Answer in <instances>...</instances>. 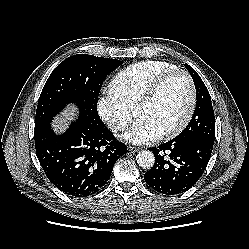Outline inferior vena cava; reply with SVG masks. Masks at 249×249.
Wrapping results in <instances>:
<instances>
[{"label": "inferior vena cava", "mask_w": 249, "mask_h": 249, "mask_svg": "<svg viewBox=\"0 0 249 249\" xmlns=\"http://www.w3.org/2000/svg\"><path fill=\"white\" fill-rule=\"evenodd\" d=\"M114 128H116V129L119 128V125L114 126Z\"/></svg>", "instance_id": "inferior-vena-cava-1"}]
</instances>
